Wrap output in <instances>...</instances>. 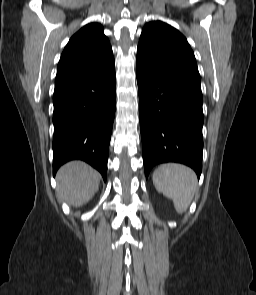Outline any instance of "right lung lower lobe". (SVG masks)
<instances>
[{
  "label": "right lung lower lobe",
  "mask_w": 256,
  "mask_h": 295,
  "mask_svg": "<svg viewBox=\"0 0 256 295\" xmlns=\"http://www.w3.org/2000/svg\"><path fill=\"white\" fill-rule=\"evenodd\" d=\"M53 104V174L81 159L106 180L116 106L114 63L55 81Z\"/></svg>",
  "instance_id": "right-lung-lower-lobe-1"
}]
</instances>
